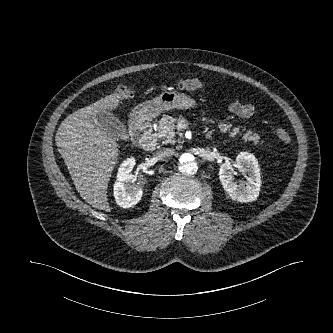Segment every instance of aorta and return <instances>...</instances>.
Instances as JSON below:
<instances>
[{
    "label": "aorta",
    "instance_id": "aorta-1",
    "mask_svg": "<svg viewBox=\"0 0 333 333\" xmlns=\"http://www.w3.org/2000/svg\"><path fill=\"white\" fill-rule=\"evenodd\" d=\"M178 169L182 174L193 175L198 170V164L195 160V157L188 152L180 154Z\"/></svg>",
    "mask_w": 333,
    "mask_h": 333
}]
</instances>
